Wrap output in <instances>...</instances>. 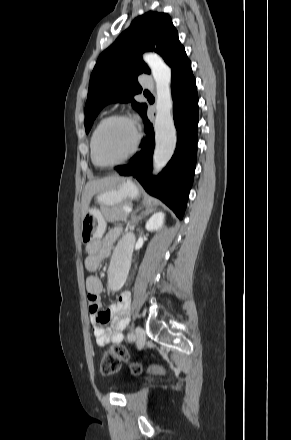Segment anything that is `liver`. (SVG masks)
<instances>
[{
  "instance_id": "1",
  "label": "liver",
  "mask_w": 291,
  "mask_h": 440,
  "mask_svg": "<svg viewBox=\"0 0 291 440\" xmlns=\"http://www.w3.org/2000/svg\"><path fill=\"white\" fill-rule=\"evenodd\" d=\"M122 179L123 178H121L120 176L114 175L111 177H105L103 179L89 181L85 186V190L82 196V218L87 213L91 198L94 194L114 187V185Z\"/></svg>"
}]
</instances>
